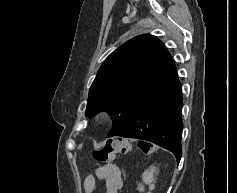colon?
I'll return each instance as SVG.
<instances>
[{
    "label": "colon",
    "instance_id": "1",
    "mask_svg": "<svg viewBox=\"0 0 237 193\" xmlns=\"http://www.w3.org/2000/svg\"><path fill=\"white\" fill-rule=\"evenodd\" d=\"M138 147L146 154L152 153V147L146 142H139ZM131 142L124 138H117L106 142L101 148L93 151V157L107 165L112 164L118 154H126L131 151Z\"/></svg>",
    "mask_w": 237,
    "mask_h": 193
}]
</instances>
